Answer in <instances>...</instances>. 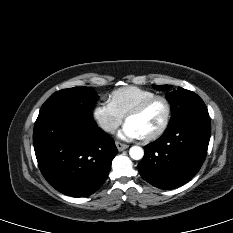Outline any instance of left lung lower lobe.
Here are the masks:
<instances>
[{
  "instance_id": "left-lung-lower-lobe-1",
  "label": "left lung lower lobe",
  "mask_w": 233,
  "mask_h": 233,
  "mask_svg": "<svg viewBox=\"0 0 233 233\" xmlns=\"http://www.w3.org/2000/svg\"><path fill=\"white\" fill-rule=\"evenodd\" d=\"M211 135L209 116H193L168 126L146 145L138 165L142 178L160 189H174L190 181L201 168Z\"/></svg>"
}]
</instances>
